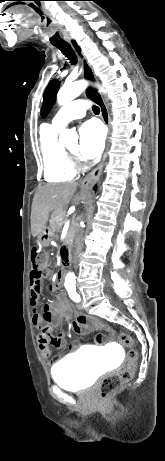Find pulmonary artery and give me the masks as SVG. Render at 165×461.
<instances>
[{"label": "pulmonary artery", "instance_id": "pulmonary-artery-1", "mask_svg": "<svg viewBox=\"0 0 165 461\" xmlns=\"http://www.w3.org/2000/svg\"><path fill=\"white\" fill-rule=\"evenodd\" d=\"M87 107L88 104L85 100L78 99L71 101L57 112L52 120V124L61 128L71 120L82 118L86 113Z\"/></svg>", "mask_w": 165, "mask_h": 461}]
</instances>
